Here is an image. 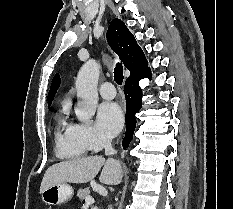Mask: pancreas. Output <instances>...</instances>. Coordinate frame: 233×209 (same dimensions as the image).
I'll list each match as a JSON object with an SVG mask.
<instances>
[{
  "mask_svg": "<svg viewBox=\"0 0 233 209\" xmlns=\"http://www.w3.org/2000/svg\"><path fill=\"white\" fill-rule=\"evenodd\" d=\"M90 196V190L89 188H84V189H80L77 192V197L83 201L84 199H86V197Z\"/></svg>",
  "mask_w": 233,
  "mask_h": 209,
  "instance_id": "1",
  "label": "pancreas"
}]
</instances>
